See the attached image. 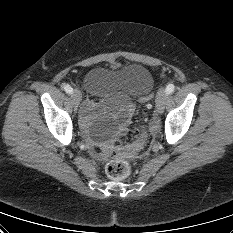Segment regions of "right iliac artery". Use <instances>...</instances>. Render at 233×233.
<instances>
[{
  "label": "right iliac artery",
  "instance_id": "obj_1",
  "mask_svg": "<svg viewBox=\"0 0 233 233\" xmlns=\"http://www.w3.org/2000/svg\"><path fill=\"white\" fill-rule=\"evenodd\" d=\"M64 90L66 91V93L68 94H72L73 93V89L70 85L66 84L63 86Z\"/></svg>",
  "mask_w": 233,
  "mask_h": 233
}]
</instances>
